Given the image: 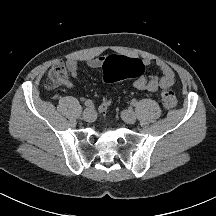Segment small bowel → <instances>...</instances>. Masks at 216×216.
Instances as JSON below:
<instances>
[{
    "instance_id": "1",
    "label": "small bowel",
    "mask_w": 216,
    "mask_h": 216,
    "mask_svg": "<svg viewBox=\"0 0 216 216\" xmlns=\"http://www.w3.org/2000/svg\"><path fill=\"white\" fill-rule=\"evenodd\" d=\"M108 58L101 56L92 58L87 61V66L91 69L102 68ZM144 66L155 64L161 75H141L136 77L133 81V88L136 90H146L148 92H157L160 88H170L175 84L176 76L171 66L164 60L157 59L153 60L150 58H143L139 60ZM66 70L69 72L71 77L75 78L78 75V63L73 59H69L65 62ZM65 87L73 89L74 84L70 80L64 82Z\"/></svg>"
}]
</instances>
